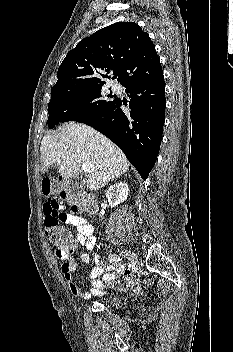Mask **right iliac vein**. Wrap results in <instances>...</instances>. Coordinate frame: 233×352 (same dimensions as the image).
Returning a JSON list of instances; mask_svg holds the SVG:
<instances>
[{
    "label": "right iliac vein",
    "mask_w": 233,
    "mask_h": 352,
    "mask_svg": "<svg viewBox=\"0 0 233 352\" xmlns=\"http://www.w3.org/2000/svg\"><path fill=\"white\" fill-rule=\"evenodd\" d=\"M119 254L127 259H129L133 265H137L138 264V259L136 254L131 251L130 249L127 248H121L119 250Z\"/></svg>",
    "instance_id": "right-iliac-vein-1"
}]
</instances>
